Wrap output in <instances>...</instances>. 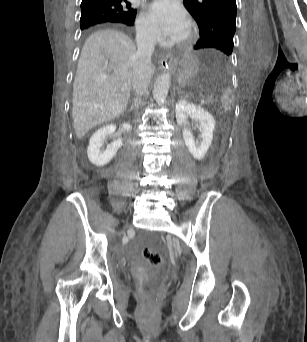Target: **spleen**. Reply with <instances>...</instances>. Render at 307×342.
<instances>
[{
  "instance_id": "obj_1",
  "label": "spleen",
  "mask_w": 307,
  "mask_h": 342,
  "mask_svg": "<svg viewBox=\"0 0 307 342\" xmlns=\"http://www.w3.org/2000/svg\"><path fill=\"white\" fill-rule=\"evenodd\" d=\"M232 92L230 90H227V92H223L221 102L219 105L220 110H231L232 105Z\"/></svg>"
}]
</instances>
